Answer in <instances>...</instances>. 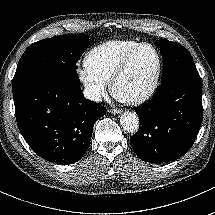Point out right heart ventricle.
I'll return each mask as SVG.
<instances>
[{
    "label": "right heart ventricle",
    "mask_w": 215,
    "mask_h": 215,
    "mask_svg": "<svg viewBox=\"0 0 215 215\" xmlns=\"http://www.w3.org/2000/svg\"><path fill=\"white\" fill-rule=\"evenodd\" d=\"M137 43L136 40H112L92 48L84 57L85 71L93 78L109 83L125 54Z\"/></svg>",
    "instance_id": "obj_1"
}]
</instances>
